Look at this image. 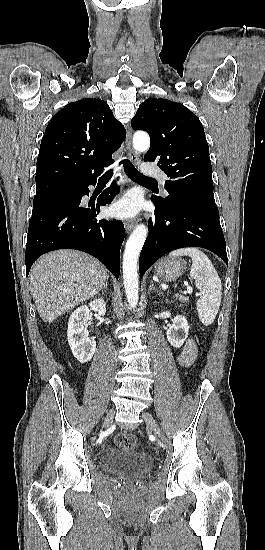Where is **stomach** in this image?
<instances>
[{
    "mask_svg": "<svg viewBox=\"0 0 265 550\" xmlns=\"http://www.w3.org/2000/svg\"><path fill=\"white\" fill-rule=\"evenodd\" d=\"M185 270L184 260L170 257L160 260L154 268V273L163 281H172L181 276Z\"/></svg>",
    "mask_w": 265,
    "mask_h": 550,
    "instance_id": "stomach-1",
    "label": "stomach"
}]
</instances>
